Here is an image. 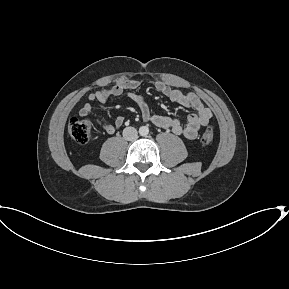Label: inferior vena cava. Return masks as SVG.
Segmentation results:
<instances>
[{
  "label": "inferior vena cava",
  "mask_w": 289,
  "mask_h": 289,
  "mask_svg": "<svg viewBox=\"0 0 289 289\" xmlns=\"http://www.w3.org/2000/svg\"><path fill=\"white\" fill-rule=\"evenodd\" d=\"M137 135L138 132L134 127H126L123 130V137L128 141L135 140L137 138Z\"/></svg>",
  "instance_id": "obj_1"
}]
</instances>
